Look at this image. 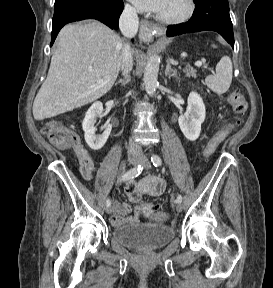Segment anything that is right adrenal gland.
Here are the masks:
<instances>
[{
  "mask_svg": "<svg viewBox=\"0 0 273 288\" xmlns=\"http://www.w3.org/2000/svg\"><path fill=\"white\" fill-rule=\"evenodd\" d=\"M119 83L121 85L125 86L128 83V79H120L118 82L115 83V85H117Z\"/></svg>",
  "mask_w": 273,
  "mask_h": 288,
  "instance_id": "right-adrenal-gland-1",
  "label": "right adrenal gland"
}]
</instances>
